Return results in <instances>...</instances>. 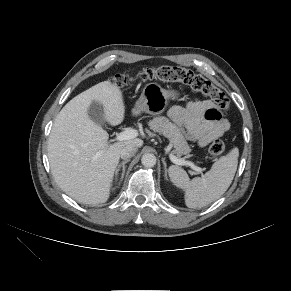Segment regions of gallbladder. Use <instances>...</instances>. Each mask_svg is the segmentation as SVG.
Wrapping results in <instances>:
<instances>
[{"label":"gallbladder","mask_w":291,"mask_h":291,"mask_svg":"<svg viewBox=\"0 0 291 291\" xmlns=\"http://www.w3.org/2000/svg\"><path fill=\"white\" fill-rule=\"evenodd\" d=\"M88 115L95 123L106 126L104 108L100 103L93 101L88 109Z\"/></svg>","instance_id":"1"}]
</instances>
